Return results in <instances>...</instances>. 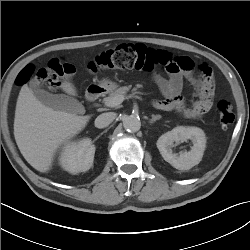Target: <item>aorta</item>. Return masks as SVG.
Returning a JSON list of instances; mask_svg holds the SVG:
<instances>
[{
  "label": "aorta",
  "mask_w": 250,
  "mask_h": 250,
  "mask_svg": "<svg viewBox=\"0 0 250 250\" xmlns=\"http://www.w3.org/2000/svg\"><path fill=\"white\" fill-rule=\"evenodd\" d=\"M123 127L129 132H137L141 128L140 119L134 115H130L124 118Z\"/></svg>",
  "instance_id": "1"
}]
</instances>
